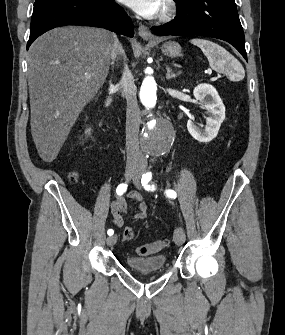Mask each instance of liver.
<instances>
[{"label":"liver","mask_w":285,"mask_h":335,"mask_svg":"<svg viewBox=\"0 0 285 335\" xmlns=\"http://www.w3.org/2000/svg\"><path fill=\"white\" fill-rule=\"evenodd\" d=\"M114 36L102 28L67 26L46 32L30 46V126L43 162L57 158L79 114L103 86Z\"/></svg>","instance_id":"obj_1"}]
</instances>
